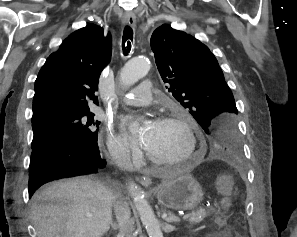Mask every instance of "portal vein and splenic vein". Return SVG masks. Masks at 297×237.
<instances>
[{
    "label": "portal vein and splenic vein",
    "instance_id": "18ae733b",
    "mask_svg": "<svg viewBox=\"0 0 297 237\" xmlns=\"http://www.w3.org/2000/svg\"><path fill=\"white\" fill-rule=\"evenodd\" d=\"M188 216H189L188 214L184 215V216H183V219L188 218Z\"/></svg>",
    "mask_w": 297,
    "mask_h": 237
}]
</instances>
